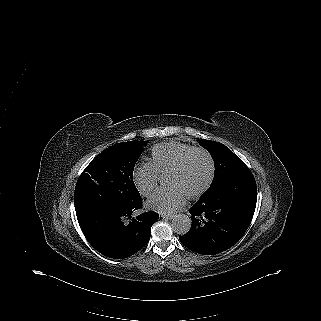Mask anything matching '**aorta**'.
<instances>
[{"mask_svg":"<svg viewBox=\"0 0 321 321\" xmlns=\"http://www.w3.org/2000/svg\"><path fill=\"white\" fill-rule=\"evenodd\" d=\"M192 227V220L186 214H177L172 219L173 231L179 235H184L190 231Z\"/></svg>","mask_w":321,"mask_h":321,"instance_id":"aorta-1","label":"aorta"}]
</instances>
